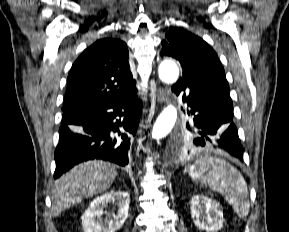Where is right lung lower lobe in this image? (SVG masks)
<instances>
[{
    "label": "right lung lower lobe",
    "instance_id": "right-lung-lower-lobe-1",
    "mask_svg": "<svg viewBox=\"0 0 289 232\" xmlns=\"http://www.w3.org/2000/svg\"><path fill=\"white\" fill-rule=\"evenodd\" d=\"M136 92L135 89L114 101L63 114L55 150V179L90 159H103L121 166L128 164L130 140L136 134L141 116Z\"/></svg>",
    "mask_w": 289,
    "mask_h": 232
}]
</instances>
